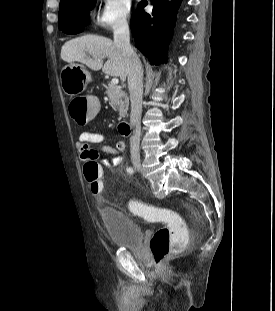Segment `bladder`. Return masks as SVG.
I'll return each instance as SVG.
<instances>
[{"label": "bladder", "instance_id": "bladder-1", "mask_svg": "<svg viewBox=\"0 0 275 311\" xmlns=\"http://www.w3.org/2000/svg\"><path fill=\"white\" fill-rule=\"evenodd\" d=\"M100 220L113 247L125 249L141 248L143 230L126 212L102 208Z\"/></svg>", "mask_w": 275, "mask_h": 311}]
</instances>
